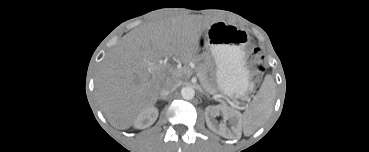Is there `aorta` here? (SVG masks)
Instances as JSON below:
<instances>
[{
  "label": "aorta",
  "mask_w": 369,
  "mask_h": 152,
  "mask_svg": "<svg viewBox=\"0 0 369 152\" xmlns=\"http://www.w3.org/2000/svg\"><path fill=\"white\" fill-rule=\"evenodd\" d=\"M181 96L185 100H191L195 96V90L192 87H184L181 90Z\"/></svg>",
  "instance_id": "1"
}]
</instances>
